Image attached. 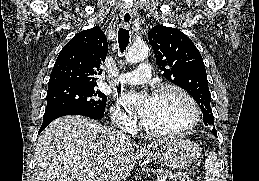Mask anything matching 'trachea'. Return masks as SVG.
I'll return each instance as SVG.
<instances>
[{"mask_svg": "<svg viewBox=\"0 0 259 181\" xmlns=\"http://www.w3.org/2000/svg\"><path fill=\"white\" fill-rule=\"evenodd\" d=\"M118 43L121 53L124 52L129 44V31L125 28H120L118 32Z\"/></svg>", "mask_w": 259, "mask_h": 181, "instance_id": "1", "label": "trachea"}]
</instances>
